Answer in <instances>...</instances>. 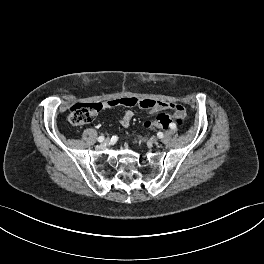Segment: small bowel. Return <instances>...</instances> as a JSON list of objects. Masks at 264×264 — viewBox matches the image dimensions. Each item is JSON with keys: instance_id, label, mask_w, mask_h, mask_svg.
Masks as SVG:
<instances>
[{"instance_id": "obj_1", "label": "small bowel", "mask_w": 264, "mask_h": 264, "mask_svg": "<svg viewBox=\"0 0 264 264\" xmlns=\"http://www.w3.org/2000/svg\"><path fill=\"white\" fill-rule=\"evenodd\" d=\"M131 99H133L134 104L132 106H138L144 110H146L148 113L150 114H154L163 110H173L174 114L178 113L179 110L184 108L179 105V104H175V103H168V102H163V101H156V100H152V99H137V98H133V97H129ZM105 107H109L108 103H104ZM130 107V106H129ZM134 113L132 110L127 109L125 110V112L123 113L121 119H120V124L123 127H128L133 119Z\"/></svg>"}]
</instances>
